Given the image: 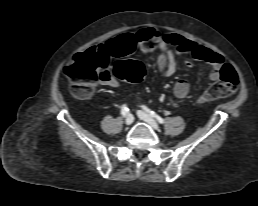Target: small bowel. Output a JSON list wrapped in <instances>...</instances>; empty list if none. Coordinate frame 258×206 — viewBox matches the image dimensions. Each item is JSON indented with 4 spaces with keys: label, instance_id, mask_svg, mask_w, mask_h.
<instances>
[{
    "label": "small bowel",
    "instance_id": "obj_1",
    "mask_svg": "<svg viewBox=\"0 0 258 206\" xmlns=\"http://www.w3.org/2000/svg\"><path fill=\"white\" fill-rule=\"evenodd\" d=\"M132 44L133 46L131 47ZM136 46L145 52H157V68L165 76H172L177 67L176 54H190L197 61H203L210 65L209 78L217 80L220 77L221 68L224 65L223 57L213 50L188 40L179 34L162 33L153 29H142L136 34L124 33L107 41L105 44L91 47L96 51H102L108 56L122 57L131 53ZM188 67L192 66L191 60H186ZM104 83L112 88L118 87L115 78L110 77ZM190 86L185 80H179L173 88L171 103L175 107L180 106V101L189 93Z\"/></svg>",
    "mask_w": 258,
    "mask_h": 206
}]
</instances>
